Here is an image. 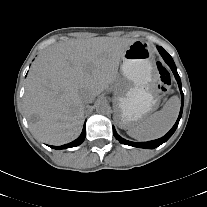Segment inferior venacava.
Here are the masks:
<instances>
[{
	"label": "inferior vena cava",
	"mask_w": 207,
	"mask_h": 207,
	"mask_svg": "<svg viewBox=\"0 0 207 207\" xmlns=\"http://www.w3.org/2000/svg\"><path fill=\"white\" fill-rule=\"evenodd\" d=\"M80 96L83 103H91L95 99L94 95L89 91H83Z\"/></svg>",
	"instance_id": "602c4592"
}]
</instances>
